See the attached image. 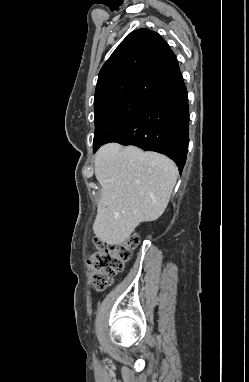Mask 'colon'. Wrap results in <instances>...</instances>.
I'll use <instances>...</instances> for the list:
<instances>
[{"label": "colon", "instance_id": "1", "mask_svg": "<svg viewBox=\"0 0 249 382\" xmlns=\"http://www.w3.org/2000/svg\"><path fill=\"white\" fill-rule=\"evenodd\" d=\"M139 238L136 235L128 237L119 244L105 246L94 239L96 250L87 258V265L92 270V286L96 291H103L111 284V278L121 273L132 252L137 248Z\"/></svg>", "mask_w": 249, "mask_h": 382}]
</instances>
